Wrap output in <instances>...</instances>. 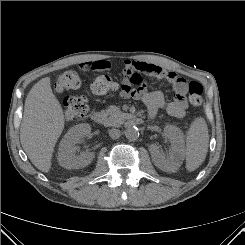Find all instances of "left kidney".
Masks as SVG:
<instances>
[{"label":"left kidney","mask_w":245,"mask_h":245,"mask_svg":"<svg viewBox=\"0 0 245 245\" xmlns=\"http://www.w3.org/2000/svg\"><path fill=\"white\" fill-rule=\"evenodd\" d=\"M164 135L170 141L169 154H165L160 150L157 144H151L149 151L151 153L154 164L163 171H175L184 160L185 142L182 131L173 125L164 128Z\"/></svg>","instance_id":"left-kidney-1"}]
</instances>
